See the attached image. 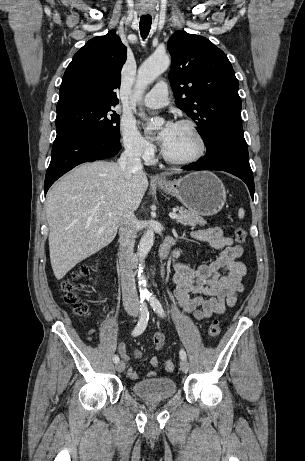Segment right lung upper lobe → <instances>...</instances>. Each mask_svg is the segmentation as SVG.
<instances>
[{
    "label": "right lung upper lobe",
    "instance_id": "1",
    "mask_svg": "<svg viewBox=\"0 0 305 461\" xmlns=\"http://www.w3.org/2000/svg\"><path fill=\"white\" fill-rule=\"evenodd\" d=\"M127 49L115 32L89 40L73 57L60 86L57 107L80 102L118 103Z\"/></svg>",
    "mask_w": 305,
    "mask_h": 461
}]
</instances>
